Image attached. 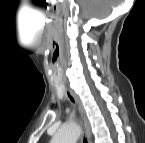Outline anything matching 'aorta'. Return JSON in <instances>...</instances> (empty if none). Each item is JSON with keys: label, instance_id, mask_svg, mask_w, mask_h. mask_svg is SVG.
<instances>
[{"label": "aorta", "instance_id": "762f6f07", "mask_svg": "<svg viewBox=\"0 0 145 143\" xmlns=\"http://www.w3.org/2000/svg\"><path fill=\"white\" fill-rule=\"evenodd\" d=\"M80 136V129L76 124L62 126L53 136V143H76Z\"/></svg>", "mask_w": 145, "mask_h": 143}]
</instances>
